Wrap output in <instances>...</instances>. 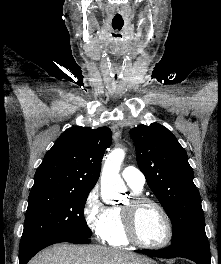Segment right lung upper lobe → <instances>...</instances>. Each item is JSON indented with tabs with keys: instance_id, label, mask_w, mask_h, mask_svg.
<instances>
[{
	"instance_id": "obj_1",
	"label": "right lung upper lobe",
	"mask_w": 221,
	"mask_h": 264,
	"mask_svg": "<svg viewBox=\"0 0 221 264\" xmlns=\"http://www.w3.org/2000/svg\"><path fill=\"white\" fill-rule=\"evenodd\" d=\"M111 141V130L107 127L66 130L37 168L31 192L44 189L92 190L100 175L104 151Z\"/></svg>"
}]
</instances>
